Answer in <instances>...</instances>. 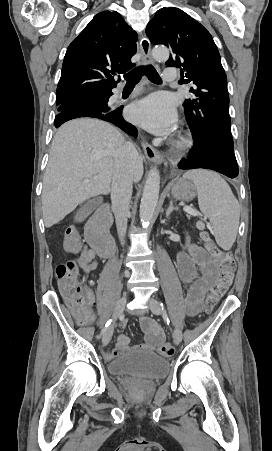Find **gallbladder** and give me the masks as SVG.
Masks as SVG:
<instances>
[{
	"instance_id": "obj_1",
	"label": "gallbladder",
	"mask_w": 272,
	"mask_h": 451,
	"mask_svg": "<svg viewBox=\"0 0 272 451\" xmlns=\"http://www.w3.org/2000/svg\"><path fill=\"white\" fill-rule=\"evenodd\" d=\"M87 206H88V204H86V206H84V208H87ZM78 216H80V212H79ZM82 218H84V216H82ZM78 220H79V218H78Z\"/></svg>"
}]
</instances>
